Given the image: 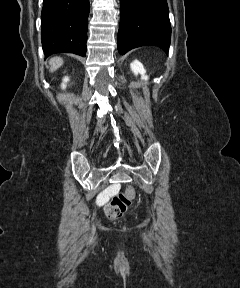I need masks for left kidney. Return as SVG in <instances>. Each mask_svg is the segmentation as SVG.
<instances>
[{"mask_svg": "<svg viewBox=\"0 0 240 288\" xmlns=\"http://www.w3.org/2000/svg\"><path fill=\"white\" fill-rule=\"evenodd\" d=\"M131 70L135 75L140 74L141 78L143 80H148V76L146 75V70L144 69V66L142 65L141 62H139L138 60H134L131 64H130Z\"/></svg>", "mask_w": 240, "mask_h": 288, "instance_id": "1", "label": "left kidney"}]
</instances>
